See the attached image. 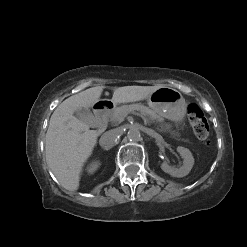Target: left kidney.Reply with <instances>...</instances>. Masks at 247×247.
<instances>
[{
    "mask_svg": "<svg viewBox=\"0 0 247 247\" xmlns=\"http://www.w3.org/2000/svg\"><path fill=\"white\" fill-rule=\"evenodd\" d=\"M177 152L183 158V166L180 168H175L167 164V162H163L161 164V169L165 172L170 174L173 177H184L189 174L193 165H194V158L192 153L189 149L184 147H177Z\"/></svg>",
    "mask_w": 247,
    "mask_h": 247,
    "instance_id": "1",
    "label": "left kidney"
}]
</instances>
